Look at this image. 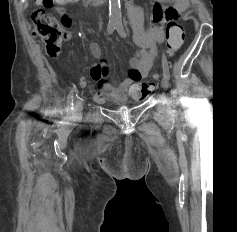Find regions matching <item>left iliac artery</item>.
<instances>
[{"label":"left iliac artery","instance_id":"44dca946","mask_svg":"<svg viewBox=\"0 0 237 232\" xmlns=\"http://www.w3.org/2000/svg\"><path fill=\"white\" fill-rule=\"evenodd\" d=\"M116 29L119 34L123 35L124 34V28L122 23H118L116 26ZM162 66H163V74L166 76L168 79L170 78V73H169V68H168V63H167V58L165 54H162Z\"/></svg>","mask_w":237,"mask_h":232}]
</instances>
